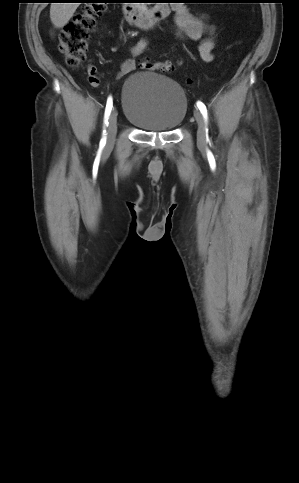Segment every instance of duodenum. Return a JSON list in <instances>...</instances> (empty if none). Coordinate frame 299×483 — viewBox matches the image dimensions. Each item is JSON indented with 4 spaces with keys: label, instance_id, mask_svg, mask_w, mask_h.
I'll return each mask as SVG.
<instances>
[{
    "label": "duodenum",
    "instance_id": "duodenum-1",
    "mask_svg": "<svg viewBox=\"0 0 299 483\" xmlns=\"http://www.w3.org/2000/svg\"><path fill=\"white\" fill-rule=\"evenodd\" d=\"M171 7L165 1H160L153 7H142L136 1L125 2L123 13L126 21L141 28H150L156 22L166 18Z\"/></svg>",
    "mask_w": 299,
    "mask_h": 483
}]
</instances>
